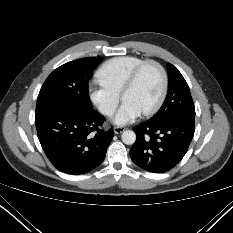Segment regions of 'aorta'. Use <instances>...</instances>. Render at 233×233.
<instances>
[{"label":"aorta","instance_id":"obj_1","mask_svg":"<svg viewBox=\"0 0 233 233\" xmlns=\"http://www.w3.org/2000/svg\"><path fill=\"white\" fill-rule=\"evenodd\" d=\"M124 144L132 145L136 140V134L131 130H126L121 135Z\"/></svg>","mask_w":233,"mask_h":233}]
</instances>
